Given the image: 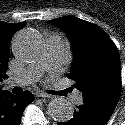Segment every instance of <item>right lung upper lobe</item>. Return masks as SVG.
Wrapping results in <instances>:
<instances>
[{
	"label": "right lung upper lobe",
	"instance_id": "cb5924a9",
	"mask_svg": "<svg viewBox=\"0 0 125 125\" xmlns=\"http://www.w3.org/2000/svg\"><path fill=\"white\" fill-rule=\"evenodd\" d=\"M26 22L21 23H6L0 21V82L7 78V64L10 56V42L13 34L18 28L23 27ZM3 91L0 88V94Z\"/></svg>",
	"mask_w": 125,
	"mask_h": 125
}]
</instances>
